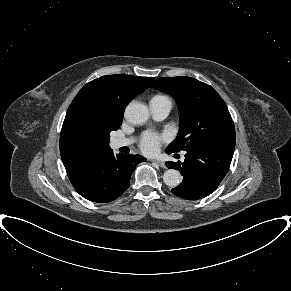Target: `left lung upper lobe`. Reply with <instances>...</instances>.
<instances>
[{
    "mask_svg": "<svg viewBox=\"0 0 291 291\" xmlns=\"http://www.w3.org/2000/svg\"><path fill=\"white\" fill-rule=\"evenodd\" d=\"M151 87L170 94L178 105L180 130L167 151H186L192 147L233 144L235 128L228 108L208 84L191 77L157 78Z\"/></svg>",
    "mask_w": 291,
    "mask_h": 291,
    "instance_id": "5c2ea615",
    "label": "left lung upper lobe"
}]
</instances>
